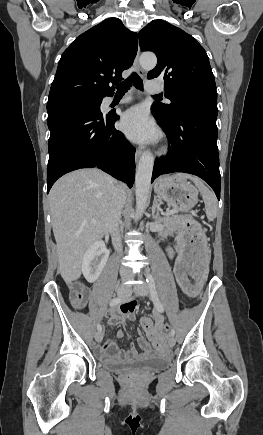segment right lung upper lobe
Here are the masks:
<instances>
[{"label":"right lung upper lobe","mask_w":263,"mask_h":435,"mask_svg":"<svg viewBox=\"0 0 263 435\" xmlns=\"http://www.w3.org/2000/svg\"><path fill=\"white\" fill-rule=\"evenodd\" d=\"M137 34L109 18L78 36L62 54L47 106L113 95L137 53Z\"/></svg>","instance_id":"obj_1"}]
</instances>
